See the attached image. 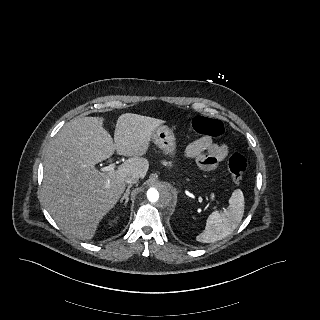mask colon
Wrapping results in <instances>:
<instances>
[{
  "label": "colon",
  "instance_id": "obj_1",
  "mask_svg": "<svg viewBox=\"0 0 320 320\" xmlns=\"http://www.w3.org/2000/svg\"><path fill=\"white\" fill-rule=\"evenodd\" d=\"M193 129L210 137H217L224 133L223 123L215 118L198 116L192 121ZM248 166L247 158L241 153H234L228 160V170L234 182H241Z\"/></svg>",
  "mask_w": 320,
  "mask_h": 320
}]
</instances>
